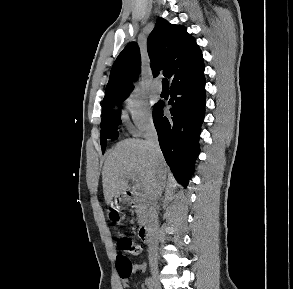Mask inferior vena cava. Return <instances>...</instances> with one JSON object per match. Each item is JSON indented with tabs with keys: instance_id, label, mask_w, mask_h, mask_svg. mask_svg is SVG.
I'll list each match as a JSON object with an SVG mask.
<instances>
[{
	"instance_id": "obj_1",
	"label": "inferior vena cava",
	"mask_w": 293,
	"mask_h": 289,
	"mask_svg": "<svg viewBox=\"0 0 293 289\" xmlns=\"http://www.w3.org/2000/svg\"><path fill=\"white\" fill-rule=\"evenodd\" d=\"M144 138L147 145L155 156H162L158 136L153 123H148L145 128ZM166 183V177L161 171H158L156 178L153 180L151 187L148 191V216H149V233L150 238L148 241V253L151 261L157 262L158 250V217L156 207L158 199L162 194Z\"/></svg>"
}]
</instances>
